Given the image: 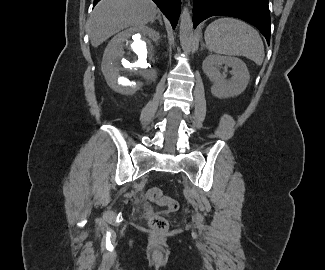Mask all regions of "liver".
Instances as JSON below:
<instances>
[{"label": "liver", "instance_id": "1", "mask_svg": "<svg viewBox=\"0 0 325 270\" xmlns=\"http://www.w3.org/2000/svg\"><path fill=\"white\" fill-rule=\"evenodd\" d=\"M158 13L152 0H101L89 20L91 45L98 47L128 27L140 28Z\"/></svg>", "mask_w": 325, "mask_h": 270}]
</instances>
